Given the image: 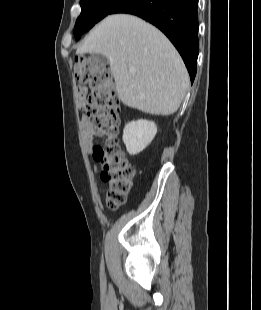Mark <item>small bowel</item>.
<instances>
[{
	"mask_svg": "<svg viewBox=\"0 0 261 310\" xmlns=\"http://www.w3.org/2000/svg\"><path fill=\"white\" fill-rule=\"evenodd\" d=\"M86 94H87V90L85 88L83 87L78 88V95H79L81 102H83L84 99L86 98ZM81 124H82L83 133L86 137L87 143L91 147L94 144V140L91 135V131L93 128L92 122L89 119V117H83Z\"/></svg>",
	"mask_w": 261,
	"mask_h": 310,
	"instance_id": "c3829d8e",
	"label": "small bowel"
}]
</instances>
